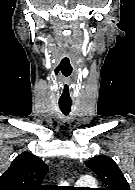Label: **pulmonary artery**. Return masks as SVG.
<instances>
[{"mask_svg": "<svg viewBox=\"0 0 135 190\" xmlns=\"http://www.w3.org/2000/svg\"><path fill=\"white\" fill-rule=\"evenodd\" d=\"M90 181H91V180H90L89 177L83 176V177H81V178L78 180L77 183H88V182H90Z\"/></svg>", "mask_w": 135, "mask_h": 190, "instance_id": "obj_1", "label": "pulmonary artery"}]
</instances>
